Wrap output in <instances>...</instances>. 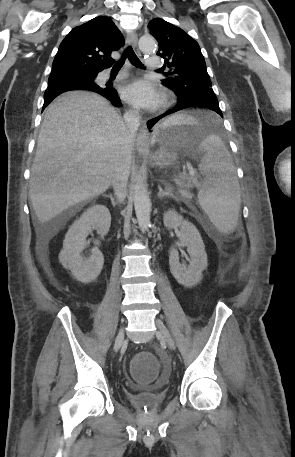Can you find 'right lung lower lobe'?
I'll list each match as a JSON object with an SVG mask.
<instances>
[{"instance_id": "1", "label": "right lung lower lobe", "mask_w": 295, "mask_h": 457, "mask_svg": "<svg viewBox=\"0 0 295 457\" xmlns=\"http://www.w3.org/2000/svg\"><path fill=\"white\" fill-rule=\"evenodd\" d=\"M47 89H57V90H65V91L77 90V89L89 90V91H93V92L101 94L102 96H104L106 99L110 100L116 106L121 105V101H120L115 89H113L111 86L101 88L98 85H96L94 82L84 83V82L76 81V80H69V81L68 80L67 81L66 80H52V81H48ZM55 97L56 96L44 98L43 109Z\"/></svg>"}]
</instances>
